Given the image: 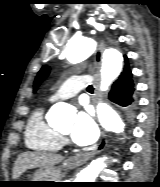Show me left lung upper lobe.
Masks as SVG:
<instances>
[{"instance_id":"obj_1","label":"left lung upper lobe","mask_w":160,"mask_h":187,"mask_svg":"<svg viewBox=\"0 0 160 187\" xmlns=\"http://www.w3.org/2000/svg\"><path fill=\"white\" fill-rule=\"evenodd\" d=\"M125 57L127 58V56H125ZM48 73H49V67L43 66L36 77L34 91H36V88L39 86V84L42 82V80L48 75Z\"/></svg>"}]
</instances>
